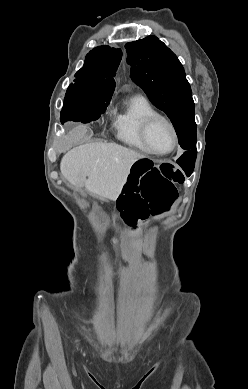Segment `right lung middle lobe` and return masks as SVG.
<instances>
[{
	"label": "right lung middle lobe",
	"mask_w": 248,
	"mask_h": 389,
	"mask_svg": "<svg viewBox=\"0 0 248 389\" xmlns=\"http://www.w3.org/2000/svg\"><path fill=\"white\" fill-rule=\"evenodd\" d=\"M113 92L89 89L82 81L74 80L67 89L61 122L68 120L88 123L97 120L110 103Z\"/></svg>",
	"instance_id": "right-lung-middle-lobe-1"
}]
</instances>
